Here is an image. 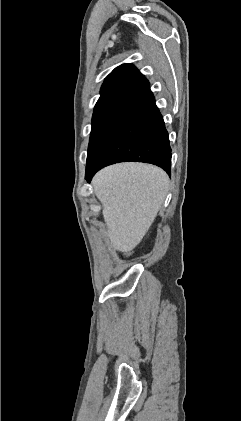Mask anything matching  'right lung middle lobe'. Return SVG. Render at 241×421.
<instances>
[{
  "mask_svg": "<svg viewBox=\"0 0 241 421\" xmlns=\"http://www.w3.org/2000/svg\"><path fill=\"white\" fill-rule=\"evenodd\" d=\"M131 106L120 104L93 113L86 169L95 165L118 132Z\"/></svg>",
  "mask_w": 241,
  "mask_h": 421,
  "instance_id": "dd1d6c3e",
  "label": "right lung middle lobe"
}]
</instances>
